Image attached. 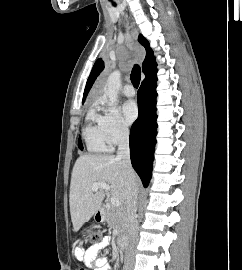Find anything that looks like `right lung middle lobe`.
I'll return each mask as SVG.
<instances>
[{
  "label": "right lung middle lobe",
  "mask_w": 242,
  "mask_h": 270,
  "mask_svg": "<svg viewBox=\"0 0 242 270\" xmlns=\"http://www.w3.org/2000/svg\"><path fill=\"white\" fill-rule=\"evenodd\" d=\"M78 147L83 150V146H82V143H81V140L79 139V143H78Z\"/></svg>",
  "instance_id": "dd1d6c3e"
}]
</instances>
